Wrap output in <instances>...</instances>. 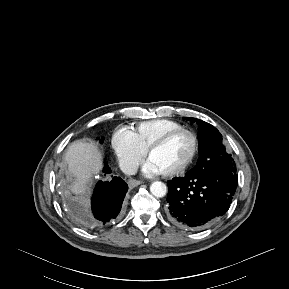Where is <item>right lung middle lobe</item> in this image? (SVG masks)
I'll list each match as a JSON object with an SVG mask.
<instances>
[{
    "label": "right lung middle lobe",
    "instance_id": "obj_1",
    "mask_svg": "<svg viewBox=\"0 0 289 289\" xmlns=\"http://www.w3.org/2000/svg\"><path fill=\"white\" fill-rule=\"evenodd\" d=\"M103 141H104V138H101V139H100V143H103Z\"/></svg>",
    "mask_w": 289,
    "mask_h": 289
}]
</instances>
